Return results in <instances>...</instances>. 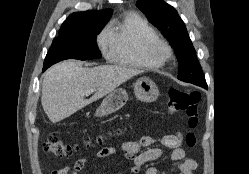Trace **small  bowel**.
Segmentation results:
<instances>
[{
  "label": "small bowel",
  "instance_id": "1",
  "mask_svg": "<svg viewBox=\"0 0 249 174\" xmlns=\"http://www.w3.org/2000/svg\"><path fill=\"white\" fill-rule=\"evenodd\" d=\"M158 142L161 146L170 149L165 156L161 148L151 147ZM183 135L180 132L174 134H164L158 138L149 135L141 136L137 139L124 142L120 148L104 147L101 148L96 156L104 159L110 156H122L131 162V172L138 174L142 166L150 161L165 158L169 161L177 162L178 174H193L198 168L195 159L186 158L182 148ZM143 148L146 150L142 151ZM88 162L87 157L76 160L73 164L65 165L59 169L53 170L51 174H80ZM143 174H159L155 167H147L143 170Z\"/></svg>",
  "mask_w": 249,
  "mask_h": 174
}]
</instances>
